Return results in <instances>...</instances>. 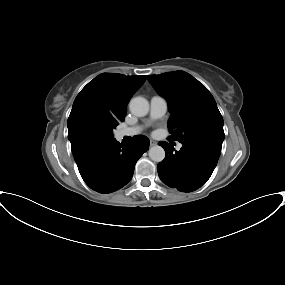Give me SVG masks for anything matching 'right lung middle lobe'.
I'll return each mask as SVG.
<instances>
[{
    "label": "right lung middle lobe",
    "instance_id": "dd1d6c3e",
    "mask_svg": "<svg viewBox=\"0 0 285 285\" xmlns=\"http://www.w3.org/2000/svg\"><path fill=\"white\" fill-rule=\"evenodd\" d=\"M116 122H97L90 121L84 128V138L87 144L106 143L114 140L113 129L116 128Z\"/></svg>",
    "mask_w": 285,
    "mask_h": 285
}]
</instances>
